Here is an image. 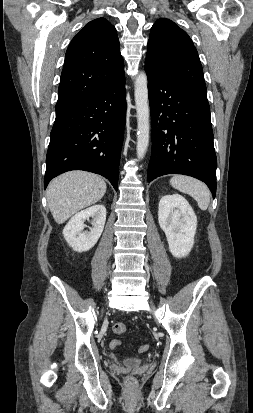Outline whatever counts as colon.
Masks as SVG:
<instances>
[{
  "instance_id": "1",
  "label": "colon",
  "mask_w": 253,
  "mask_h": 413,
  "mask_svg": "<svg viewBox=\"0 0 253 413\" xmlns=\"http://www.w3.org/2000/svg\"><path fill=\"white\" fill-rule=\"evenodd\" d=\"M113 331H114V333H116L118 335H122V334L126 333L127 328L123 323L116 322V323L113 324ZM119 346H120V341L113 340L111 342V347L112 348H118ZM148 349H149V346L147 344L141 345L139 347L140 352H146ZM125 381H126V384L130 387L135 385V379L132 376H127Z\"/></svg>"
}]
</instances>
